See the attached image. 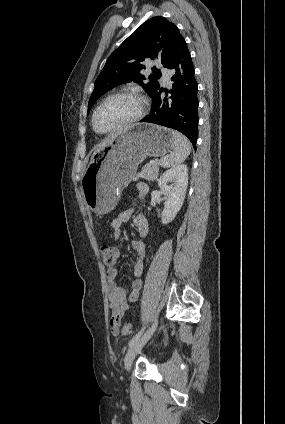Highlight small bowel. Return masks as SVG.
<instances>
[{
	"instance_id": "small-bowel-1",
	"label": "small bowel",
	"mask_w": 285,
	"mask_h": 424,
	"mask_svg": "<svg viewBox=\"0 0 285 424\" xmlns=\"http://www.w3.org/2000/svg\"><path fill=\"white\" fill-rule=\"evenodd\" d=\"M148 193V187L145 184L137 185V196L143 198ZM133 208H127L121 211L112 221L111 228L115 240H119L123 236V225L130 220L133 214ZM133 224L137 229L140 237H145L149 231L147 218L144 214H138L133 218ZM131 247L136 254L135 264L132 269L133 281L131 283V290L127 294L125 289L116 283L118 270L109 268L106 273L107 278V298L110 302V308L113 313L111 319V330L114 335L120 333L121 318L123 313L129 308L130 303L138 300L142 290V274L144 269V260L146 256L145 244L140 239L131 241ZM114 317H117V322H114ZM123 332V331H122ZM125 333V332H123Z\"/></svg>"
}]
</instances>
